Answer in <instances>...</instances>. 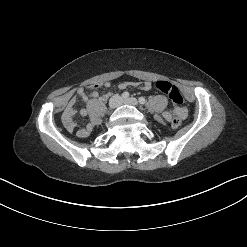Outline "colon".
Listing matches in <instances>:
<instances>
[{
	"label": "colon",
	"mask_w": 247,
	"mask_h": 247,
	"mask_svg": "<svg viewBox=\"0 0 247 247\" xmlns=\"http://www.w3.org/2000/svg\"><path fill=\"white\" fill-rule=\"evenodd\" d=\"M155 87L157 90L167 95L176 107H181L183 105V96L179 89L172 83L160 80L155 83ZM171 126L173 129H178L181 126L180 117H174L171 121Z\"/></svg>",
	"instance_id": "colon-1"
}]
</instances>
